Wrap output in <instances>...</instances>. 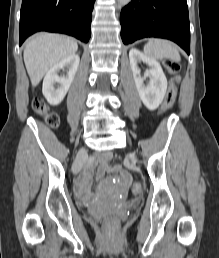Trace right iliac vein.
Instances as JSON below:
<instances>
[{
  "label": "right iliac vein",
  "instance_id": "1",
  "mask_svg": "<svg viewBox=\"0 0 219 258\" xmlns=\"http://www.w3.org/2000/svg\"><path fill=\"white\" fill-rule=\"evenodd\" d=\"M85 154H86L85 148H81L79 150V152L77 153L76 159L74 161V164H73V167H72L73 172L76 173L84 165Z\"/></svg>",
  "mask_w": 219,
  "mask_h": 258
}]
</instances>
